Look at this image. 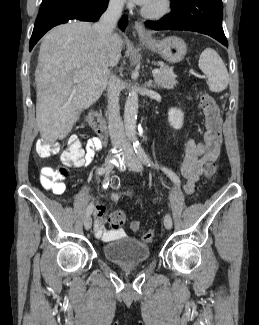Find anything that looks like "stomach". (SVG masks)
<instances>
[{"label": "stomach", "mask_w": 259, "mask_h": 325, "mask_svg": "<svg viewBox=\"0 0 259 325\" xmlns=\"http://www.w3.org/2000/svg\"><path fill=\"white\" fill-rule=\"evenodd\" d=\"M142 42L149 50L158 53L169 63H179L187 52L184 40L176 36L166 37L162 40H142Z\"/></svg>", "instance_id": "0dacf381"}]
</instances>
